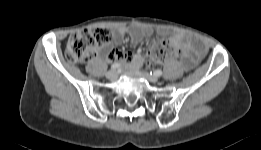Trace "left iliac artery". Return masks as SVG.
<instances>
[{"mask_svg":"<svg viewBox=\"0 0 261 150\" xmlns=\"http://www.w3.org/2000/svg\"><path fill=\"white\" fill-rule=\"evenodd\" d=\"M154 75L160 77L162 75V71L158 69L154 72Z\"/></svg>","mask_w":261,"mask_h":150,"instance_id":"1","label":"left iliac artery"}]
</instances>
